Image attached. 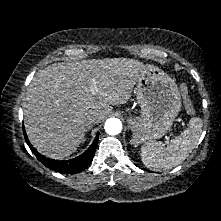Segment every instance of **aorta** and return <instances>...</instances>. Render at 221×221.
<instances>
[{
  "instance_id": "1",
  "label": "aorta",
  "mask_w": 221,
  "mask_h": 221,
  "mask_svg": "<svg viewBox=\"0 0 221 221\" xmlns=\"http://www.w3.org/2000/svg\"><path fill=\"white\" fill-rule=\"evenodd\" d=\"M105 131L109 135H117L121 132L122 130V123L119 119L117 118H109L105 122Z\"/></svg>"
}]
</instances>
